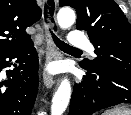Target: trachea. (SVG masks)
I'll list each match as a JSON object with an SVG mask.
<instances>
[{"instance_id": "trachea-1", "label": "trachea", "mask_w": 131, "mask_h": 115, "mask_svg": "<svg viewBox=\"0 0 131 115\" xmlns=\"http://www.w3.org/2000/svg\"><path fill=\"white\" fill-rule=\"evenodd\" d=\"M50 33H51L53 41L55 42V44L60 49H71V50H78V51H80V49L72 47V46L68 45L67 43H65L64 41H61L52 31H50Z\"/></svg>"}]
</instances>
